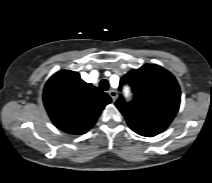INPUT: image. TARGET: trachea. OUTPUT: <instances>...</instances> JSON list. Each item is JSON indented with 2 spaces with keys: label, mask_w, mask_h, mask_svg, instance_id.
Segmentation results:
<instances>
[{
  "label": "trachea",
  "mask_w": 212,
  "mask_h": 183,
  "mask_svg": "<svg viewBox=\"0 0 212 183\" xmlns=\"http://www.w3.org/2000/svg\"><path fill=\"white\" fill-rule=\"evenodd\" d=\"M99 86L103 91H107L109 89V82L106 79H102Z\"/></svg>",
  "instance_id": "trachea-1"
}]
</instances>
